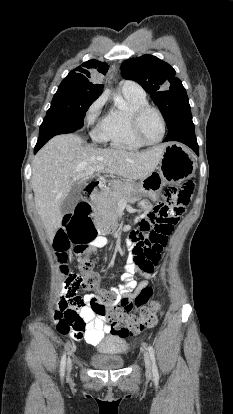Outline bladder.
Listing matches in <instances>:
<instances>
[{
  "label": "bladder",
  "mask_w": 233,
  "mask_h": 414,
  "mask_svg": "<svg viewBox=\"0 0 233 414\" xmlns=\"http://www.w3.org/2000/svg\"><path fill=\"white\" fill-rule=\"evenodd\" d=\"M126 349L123 338L112 334L104 338L98 346L99 353L90 357V364L97 370H117L125 365L121 353Z\"/></svg>",
  "instance_id": "obj_1"
}]
</instances>
